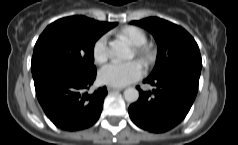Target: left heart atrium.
Masks as SVG:
<instances>
[{
	"mask_svg": "<svg viewBox=\"0 0 238 145\" xmlns=\"http://www.w3.org/2000/svg\"><path fill=\"white\" fill-rule=\"evenodd\" d=\"M142 75V66L137 61L111 62L99 71V80L102 84L122 87L139 79Z\"/></svg>",
	"mask_w": 238,
	"mask_h": 145,
	"instance_id": "obj_1",
	"label": "left heart atrium"
}]
</instances>
